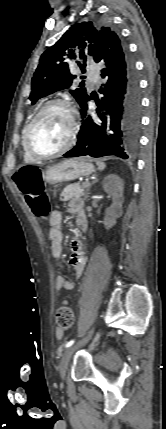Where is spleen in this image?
I'll return each instance as SVG.
<instances>
[{"label": "spleen", "instance_id": "1", "mask_svg": "<svg viewBox=\"0 0 166 429\" xmlns=\"http://www.w3.org/2000/svg\"><path fill=\"white\" fill-rule=\"evenodd\" d=\"M97 165H98L99 170H104L106 167V164L104 162H101V161H97Z\"/></svg>", "mask_w": 166, "mask_h": 429}]
</instances>
